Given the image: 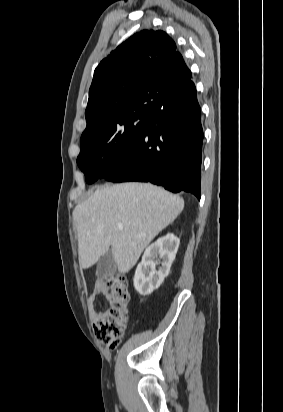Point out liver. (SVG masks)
I'll use <instances>...</instances> for the list:
<instances>
[{"label": "liver", "instance_id": "liver-1", "mask_svg": "<svg viewBox=\"0 0 283 412\" xmlns=\"http://www.w3.org/2000/svg\"><path fill=\"white\" fill-rule=\"evenodd\" d=\"M183 208L181 197L152 184L122 183L97 189L73 211L81 268L93 266L111 247L119 272H129Z\"/></svg>", "mask_w": 283, "mask_h": 412}]
</instances>
